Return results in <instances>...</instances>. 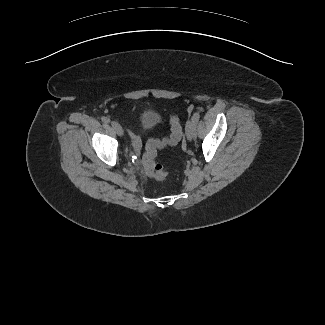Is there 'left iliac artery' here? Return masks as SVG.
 Wrapping results in <instances>:
<instances>
[{
    "mask_svg": "<svg viewBox=\"0 0 325 325\" xmlns=\"http://www.w3.org/2000/svg\"><path fill=\"white\" fill-rule=\"evenodd\" d=\"M199 118H200V114L198 112L194 113L192 116L194 136H196V125L199 121Z\"/></svg>",
    "mask_w": 325,
    "mask_h": 325,
    "instance_id": "1",
    "label": "left iliac artery"
}]
</instances>
